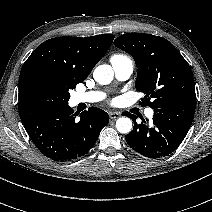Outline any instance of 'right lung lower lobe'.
<instances>
[{
  "label": "right lung lower lobe",
  "mask_w": 212,
  "mask_h": 212,
  "mask_svg": "<svg viewBox=\"0 0 212 212\" xmlns=\"http://www.w3.org/2000/svg\"><path fill=\"white\" fill-rule=\"evenodd\" d=\"M22 123L35 146L46 157L59 162L86 155L109 122L102 109L90 107L76 119L68 103L19 101Z\"/></svg>",
  "instance_id": "1"
}]
</instances>
